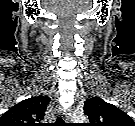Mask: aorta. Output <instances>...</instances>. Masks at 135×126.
<instances>
[{
  "label": "aorta",
  "instance_id": "762f6f07",
  "mask_svg": "<svg viewBox=\"0 0 135 126\" xmlns=\"http://www.w3.org/2000/svg\"><path fill=\"white\" fill-rule=\"evenodd\" d=\"M87 120L85 115H74L73 116V121L75 122H80V123H84Z\"/></svg>",
  "mask_w": 135,
  "mask_h": 126
}]
</instances>
